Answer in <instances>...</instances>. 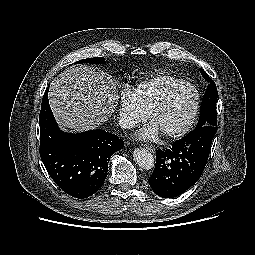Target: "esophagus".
<instances>
[{"instance_id": "esophagus-1", "label": "esophagus", "mask_w": 255, "mask_h": 255, "mask_svg": "<svg viewBox=\"0 0 255 255\" xmlns=\"http://www.w3.org/2000/svg\"><path fill=\"white\" fill-rule=\"evenodd\" d=\"M144 148L148 149L150 152L154 153L155 147L153 145H144Z\"/></svg>"}]
</instances>
